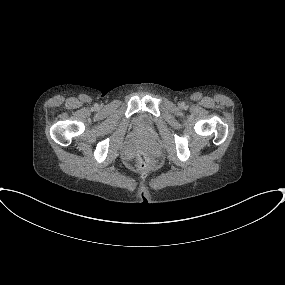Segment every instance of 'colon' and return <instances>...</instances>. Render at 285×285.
Listing matches in <instances>:
<instances>
[{
  "label": "colon",
  "instance_id": "colon-1",
  "mask_svg": "<svg viewBox=\"0 0 285 285\" xmlns=\"http://www.w3.org/2000/svg\"><path fill=\"white\" fill-rule=\"evenodd\" d=\"M157 160L153 152L146 146H141L137 149L135 154V161L132 163V167L152 170L156 168Z\"/></svg>",
  "mask_w": 285,
  "mask_h": 285
}]
</instances>
